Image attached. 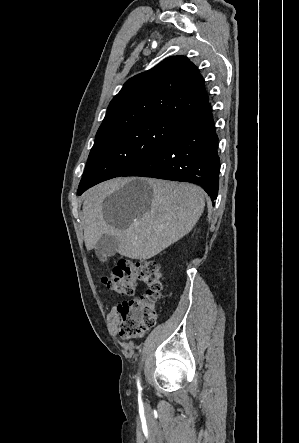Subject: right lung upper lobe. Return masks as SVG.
<instances>
[{
    "label": "right lung upper lobe",
    "mask_w": 299,
    "mask_h": 443,
    "mask_svg": "<svg viewBox=\"0 0 299 443\" xmlns=\"http://www.w3.org/2000/svg\"><path fill=\"white\" fill-rule=\"evenodd\" d=\"M207 101L204 79L196 66L186 57H169L124 84L111 101L97 135L144 118L180 120Z\"/></svg>",
    "instance_id": "cb5924a9"
}]
</instances>
